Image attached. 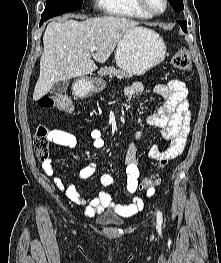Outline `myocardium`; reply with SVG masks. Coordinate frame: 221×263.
<instances>
[{
  "label": "myocardium",
  "instance_id": "1",
  "mask_svg": "<svg viewBox=\"0 0 221 263\" xmlns=\"http://www.w3.org/2000/svg\"><path fill=\"white\" fill-rule=\"evenodd\" d=\"M163 2H164L163 9L160 11H155L149 7L147 0H137L139 7L150 17L162 15L167 10L169 1L163 0Z\"/></svg>",
  "mask_w": 221,
  "mask_h": 263
}]
</instances>
